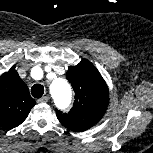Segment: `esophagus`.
Listing matches in <instances>:
<instances>
[{"instance_id": "1", "label": "esophagus", "mask_w": 153, "mask_h": 153, "mask_svg": "<svg viewBox=\"0 0 153 153\" xmlns=\"http://www.w3.org/2000/svg\"><path fill=\"white\" fill-rule=\"evenodd\" d=\"M37 102L40 103V104L47 103L48 102V97L43 96L42 98L38 99Z\"/></svg>"}]
</instances>
